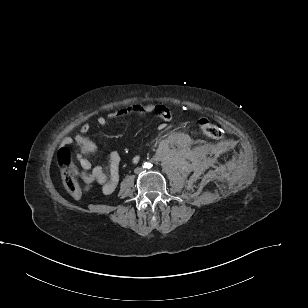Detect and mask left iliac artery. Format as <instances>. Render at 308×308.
<instances>
[{"instance_id":"obj_1","label":"left iliac artery","mask_w":308,"mask_h":308,"mask_svg":"<svg viewBox=\"0 0 308 308\" xmlns=\"http://www.w3.org/2000/svg\"><path fill=\"white\" fill-rule=\"evenodd\" d=\"M146 167H147V168H151V167H152V164H151V163H146Z\"/></svg>"}]
</instances>
